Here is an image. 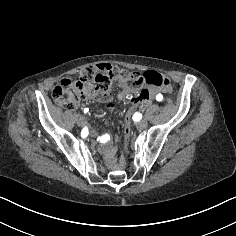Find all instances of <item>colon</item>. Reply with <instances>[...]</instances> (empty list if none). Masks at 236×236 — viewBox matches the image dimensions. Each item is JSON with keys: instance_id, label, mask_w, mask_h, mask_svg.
<instances>
[{"instance_id": "1", "label": "colon", "mask_w": 236, "mask_h": 236, "mask_svg": "<svg viewBox=\"0 0 236 236\" xmlns=\"http://www.w3.org/2000/svg\"><path fill=\"white\" fill-rule=\"evenodd\" d=\"M145 84L147 87H169V79L155 71L143 74L122 70L109 64L87 65L81 68L77 79H63L53 89V99L64 109H73L78 103L95 94L108 93L117 81ZM148 89H143L131 101V106L125 113V142L130 141V123L135 107L147 96Z\"/></svg>"}]
</instances>
